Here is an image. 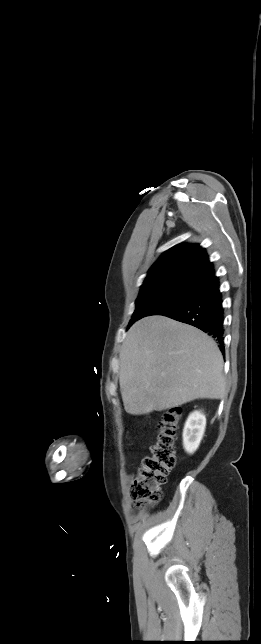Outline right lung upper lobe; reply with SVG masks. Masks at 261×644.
<instances>
[{
  "instance_id": "obj_1",
  "label": "right lung upper lobe",
  "mask_w": 261,
  "mask_h": 644,
  "mask_svg": "<svg viewBox=\"0 0 261 644\" xmlns=\"http://www.w3.org/2000/svg\"><path fill=\"white\" fill-rule=\"evenodd\" d=\"M213 274V265L203 248L198 244H181L152 265L143 284L174 278L199 284Z\"/></svg>"
}]
</instances>
